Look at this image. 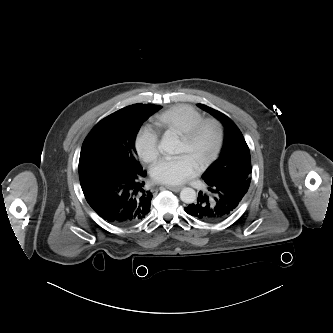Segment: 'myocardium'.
I'll return each mask as SVG.
<instances>
[{"mask_svg":"<svg viewBox=\"0 0 333 333\" xmlns=\"http://www.w3.org/2000/svg\"><path fill=\"white\" fill-rule=\"evenodd\" d=\"M207 126H212L216 132V142L212 153L202 160L198 165L199 170H204L208 168L211 164H213L217 158L220 156L224 141H225V128L223 123L217 118H204L195 124L191 129L187 132L181 134V139L184 140L188 144H193L203 129Z\"/></svg>","mask_w":333,"mask_h":333,"instance_id":"myocardium-1","label":"myocardium"}]
</instances>
